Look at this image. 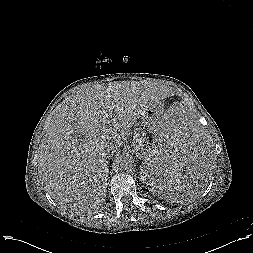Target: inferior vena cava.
<instances>
[{
	"label": "inferior vena cava",
	"mask_w": 253,
	"mask_h": 253,
	"mask_svg": "<svg viewBox=\"0 0 253 253\" xmlns=\"http://www.w3.org/2000/svg\"><path fill=\"white\" fill-rule=\"evenodd\" d=\"M112 152H114L113 149H112ZM111 155H112V154H110L108 157H111Z\"/></svg>",
	"instance_id": "1"
}]
</instances>
